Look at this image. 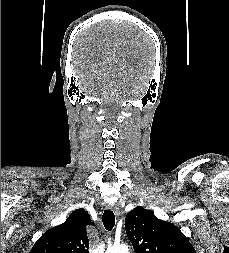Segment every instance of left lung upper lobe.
Returning a JSON list of instances; mask_svg holds the SVG:
<instances>
[{"label":"left lung upper lobe","mask_w":229,"mask_h":253,"mask_svg":"<svg viewBox=\"0 0 229 253\" xmlns=\"http://www.w3.org/2000/svg\"><path fill=\"white\" fill-rule=\"evenodd\" d=\"M125 228L135 253H196L180 229L143 207L127 214Z\"/></svg>","instance_id":"obj_1"}]
</instances>
